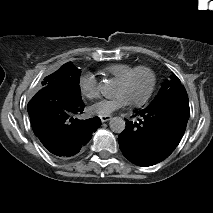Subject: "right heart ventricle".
<instances>
[{"mask_svg": "<svg viewBox=\"0 0 213 213\" xmlns=\"http://www.w3.org/2000/svg\"><path fill=\"white\" fill-rule=\"evenodd\" d=\"M135 69L137 68L134 66L128 64H121L114 68H111L109 71L118 79L123 80L128 77Z\"/></svg>", "mask_w": 213, "mask_h": 213, "instance_id": "right-heart-ventricle-1", "label": "right heart ventricle"}]
</instances>
